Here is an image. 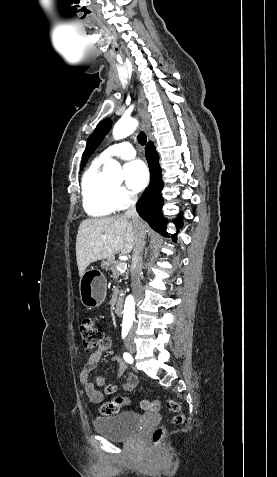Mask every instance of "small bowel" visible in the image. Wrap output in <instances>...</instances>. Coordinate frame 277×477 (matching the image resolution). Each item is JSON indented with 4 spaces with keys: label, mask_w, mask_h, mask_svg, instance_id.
Returning <instances> with one entry per match:
<instances>
[{
    "label": "small bowel",
    "mask_w": 277,
    "mask_h": 477,
    "mask_svg": "<svg viewBox=\"0 0 277 477\" xmlns=\"http://www.w3.org/2000/svg\"><path fill=\"white\" fill-rule=\"evenodd\" d=\"M112 346V341L110 338H103L99 343L98 349L96 352L91 354L89 358L84 362V365L79 373L80 382L83 385L84 391L88 398L94 402L99 403L103 400V394L99 391L96 386L102 387L105 385V379L103 376H96L94 382L90 380V372L94 370L101 357L102 353ZM111 361L117 363L118 365V375L122 377L126 371V364L119 356H112ZM138 384V379L135 375L129 374L126 378V382L124 384V389L130 391L134 389ZM124 399V405H128L130 403L129 399Z\"/></svg>",
    "instance_id": "c3829d8e"
}]
</instances>
